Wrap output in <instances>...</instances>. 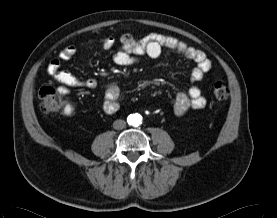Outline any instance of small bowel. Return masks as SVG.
Listing matches in <instances>:
<instances>
[{"label": "small bowel", "mask_w": 277, "mask_h": 218, "mask_svg": "<svg viewBox=\"0 0 277 218\" xmlns=\"http://www.w3.org/2000/svg\"><path fill=\"white\" fill-rule=\"evenodd\" d=\"M110 46L111 43L107 42L106 47L109 48ZM164 46L177 49L185 54L189 59L196 60L198 62V65L195 67L196 77H199L203 70L207 68L208 62L203 58L200 52L190 47L187 43L179 38L164 36L161 34H153L145 43L134 46L131 42L125 41V51L118 54V63L124 65L138 64L145 54L151 58L159 57ZM75 52V46H67L61 50L58 55V59L53 60L48 64V73L56 76L63 83H69L71 81L70 74H62L59 71V65L61 61L68 60ZM87 83L90 86H94L97 84V81L95 79H90ZM178 100L181 104H184L189 100L196 103L203 102V98L200 96L199 88L196 85L191 87L189 95L182 93L178 97Z\"/></svg>", "instance_id": "c3829d8e"}]
</instances>
